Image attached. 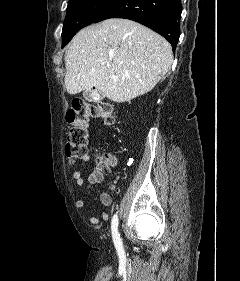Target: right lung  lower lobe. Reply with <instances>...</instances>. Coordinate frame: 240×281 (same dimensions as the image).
Returning <instances> with one entry per match:
<instances>
[{
  "label": "right lung lower lobe",
  "mask_w": 240,
  "mask_h": 281,
  "mask_svg": "<svg viewBox=\"0 0 240 281\" xmlns=\"http://www.w3.org/2000/svg\"><path fill=\"white\" fill-rule=\"evenodd\" d=\"M181 0H116L95 21L125 18L141 23L168 40L173 51L179 38Z\"/></svg>",
  "instance_id": "right-lung-lower-lobe-1"
}]
</instances>
